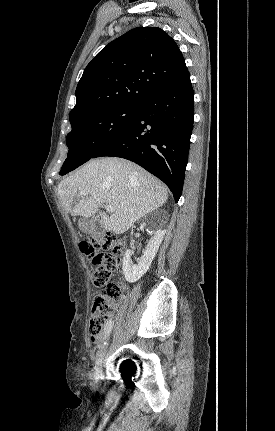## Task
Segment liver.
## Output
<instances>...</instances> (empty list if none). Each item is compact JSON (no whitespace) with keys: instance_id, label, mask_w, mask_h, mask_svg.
Wrapping results in <instances>:
<instances>
[{"instance_id":"liver-1","label":"liver","mask_w":275,"mask_h":431,"mask_svg":"<svg viewBox=\"0 0 275 431\" xmlns=\"http://www.w3.org/2000/svg\"><path fill=\"white\" fill-rule=\"evenodd\" d=\"M57 191L63 207L72 216L89 218L104 203L112 205L114 213L109 216L103 212L100 224L116 234L126 232L168 199L167 188L156 177L135 163L117 157L90 160L62 180ZM81 191L88 194L80 195Z\"/></svg>"}]
</instances>
